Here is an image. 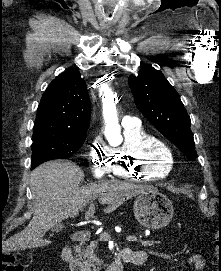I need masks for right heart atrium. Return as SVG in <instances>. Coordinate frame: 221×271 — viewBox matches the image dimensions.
I'll use <instances>...</instances> for the list:
<instances>
[{"mask_svg": "<svg viewBox=\"0 0 221 271\" xmlns=\"http://www.w3.org/2000/svg\"><path fill=\"white\" fill-rule=\"evenodd\" d=\"M93 150L90 154L94 157H88V167L90 170H95L96 177H106V173H114L115 171L110 170L111 162L116 161L118 154H113V151H103V146H94Z\"/></svg>", "mask_w": 221, "mask_h": 271, "instance_id": "d8ad5b80", "label": "right heart atrium"}]
</instances>
